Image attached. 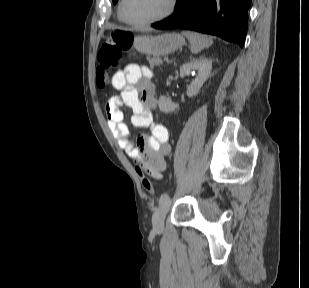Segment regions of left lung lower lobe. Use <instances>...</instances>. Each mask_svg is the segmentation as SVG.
<instances>
[{
  "mask_svg": "<svg viewBox=\"0 0 309 288\" xmlns=\"http://www.w3.org/2000/svg\"><path fill=\"white\" fill-rule=\"evenodd\" d=\"M250 4L251 0H177L175 13L152 27L195 30L243 47Z\"/></svg>",
  "mask_w": 309,
  "mask_h": 288,
  "instance_id": "left-lung-lower-lobe-1",
  "label": "left lung lower lobe"
}]
</instances>
